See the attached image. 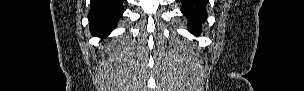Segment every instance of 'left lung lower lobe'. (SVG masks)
Segmentation results:
<instances>
[{
    "label": "left lung lower lobe",
    "mask_w": 304,
    "mask_h": 91,
    "mask_svg": "<svg viewBox=\"0 0 304 91\" xmlns=\"http://www.w3.org/2000/svg\"><path fill=\"white\" fill-rule=\"evenodd\" d=\"M181 11L188 18L190 31L197 35L201 34L200 25L206 20L207 0H181Z\"/></svg>",
    "instance_id": "0a47b994"
}]
</instances>
